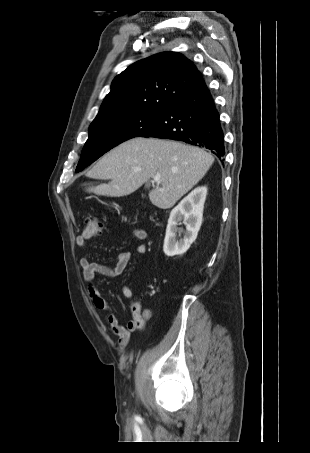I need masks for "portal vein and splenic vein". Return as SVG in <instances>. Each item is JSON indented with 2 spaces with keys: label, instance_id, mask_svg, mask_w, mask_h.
Listing matches in <instances>:
<instances>
[{
  "label": "portal vein and splenic vein",
  "instance_id": "obj_1",
  "mask_svg": "<svg viewBox=\"0 0 310 453\" xmlns=\"http://www.w3.org/2000/svg\"><path fill=\"white\" fill-rule=\"evenodd\" d=\"M153 182L159 183L160 182V175L154 176Z\"/></svg>",
  "mask_w": 310,
  "mask_h": 453
}]
</instances>
